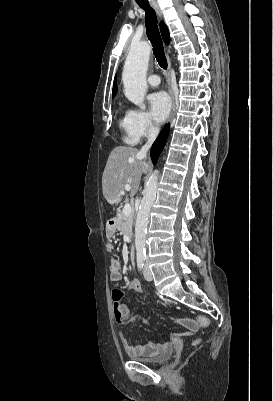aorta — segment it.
I'll list each match as a JSON object with an SVG mask.
<instances>
[{"instance_id": "aorta-1", "label": "aorta", "mask_w": 273, "mask_h": 401, "mask_svg": "<svg viewBox=\"0 0 273 401\" xmlns=\"http://www.w3.org/2000/svg\"><path fill=\"white\" fill-rule=\"evenodd\" d=\"M151 47L147 42H140L131 47L126 58L122 80L124 94L128 100L144 108L147 91L146 73ZM158 185V171L155 170L147 180L144 195L140 202L135 222V248L138 259L146 256L145 240L150 209L155 201Z\"/></svg>"}]
</instances>
